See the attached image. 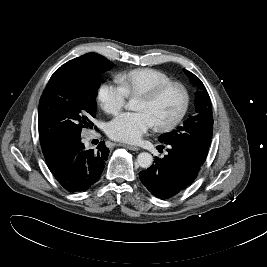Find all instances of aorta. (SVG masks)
Here are the masks:
<instances>
[{"instance_id": "762f6f07", "label": "aorta", "mask_w": 267, "mask_h": 267, "mask_svg": "<svg viewBox=\"0 0 267 267\" xmlns=\"http://www.w3.org/2000/svg\"><path fill=\"white\" fill-rule=\"evenodd\" d=\"M135 102L134 100H130L127 104L128 109L134 110ZM137 162L142 168H149L152 165L153 157L148 152H142L137 156Z\"/></svg>"}]
</instances>
